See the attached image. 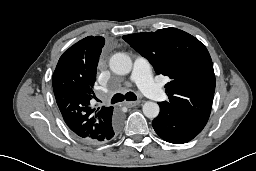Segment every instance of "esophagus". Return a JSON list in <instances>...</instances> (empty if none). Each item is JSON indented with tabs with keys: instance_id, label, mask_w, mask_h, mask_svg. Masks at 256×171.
Masks as SVG:
<instances>
[{
	"instance_id": "34e87169",
	"label": "esophagus",
	"mask_w": 256,
	"mask_h": 171,
	"mask_svg": "<svg viewBox=\"0 0 256 171\" xmlns=\"http://www.w3.org/2000/svg\"><path fill=\"white\" fill-rule=\"evenodd\" d=\"M140 104V101L139 100H137V101H131V102H125V105L127 106V107H135V106H137V105H139Z\"/></svg>"
}]
</instances>
